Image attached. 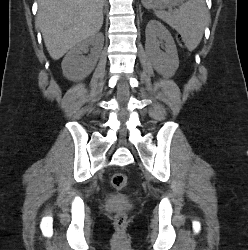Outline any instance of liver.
Here are the masks:
<instances>
[{"instance_id": "6515ba94", "label": "liver", "mask_w": 248, "mask_h": 250, "mask_svg": "<svg viewBox=\"0 0 248 250\" xmlns=\"http://www.w3.org/2000/svg\"><path fill=\"white\" fill-rule=\"evenodd\" d=\"M103 5L104 0H38L36 20L52 59L100 30Z\"/></svg>"}]
</instances>
